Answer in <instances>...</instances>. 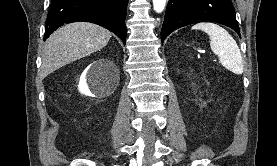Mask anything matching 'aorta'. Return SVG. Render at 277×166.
I'll return each instance as SVG.
<instances>
[{
    "label": "aorta",
    "mask_w": 277,
    "mask_h": 166,
    "mask_svg": "<svg viewBox=\"0 0 277 166\" xmlns=\"http://www.w3.org/2000/svg\"><path fill=\"white\" fill-rule=\"evenodd\" d=\"M165 5H166V0H153L154 10L158 13L164 10Z\"/></svg>",
    "instance_id": "1"
}]
</instances>
